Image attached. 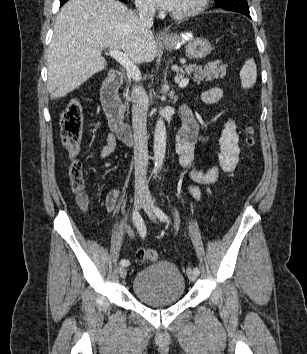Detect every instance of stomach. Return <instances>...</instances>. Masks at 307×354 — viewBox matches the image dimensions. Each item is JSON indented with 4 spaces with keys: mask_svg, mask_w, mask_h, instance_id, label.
<instances>
[{
    "mask_svg": "<svg viewBox=\"0 0 307 354\" xmlns=\"http://www.w3.org/2000/svg\"><path fill=\"white\" fill-rule=\"evenodd\" d=\"M186 42H188V45L185 47V51L190 59H203L212 50L211 43L206 38H192L189 33H171L159 40V44L169 50L178 49L180 45Z\"/></svg>",
    "mask_w": 307,
    "mask_h": 354,
    "instance_id": "1",
    "label": "stomach"
}]
</instances>
